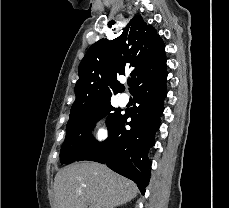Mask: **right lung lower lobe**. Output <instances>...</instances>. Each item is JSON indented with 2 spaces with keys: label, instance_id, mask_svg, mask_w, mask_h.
<instances>
[{
  "label": "right lung lower lobe",
  "instance_id": "obj_1",
  "mask_svg": "<svg viewBox=\"0 0 229 208\" xmlns=\"http://www.w3.org/2000/svg\"><path fill=\"white\" fill-rule=\"evenodd\" d=\"M166 65L154 77L142 82L131 93L137 106L126 110L117 126L102 143L96 144L77 161L89 160L106 165L113 171L133 180L144 195L149 183L148 151L154 145L160 127L163 101L166 97ZM131 118L129 122L127 119ZM125 124L131 129L126 130Z\"/></svg>",
  "mask_w": 229,
  "mask_h": 208
}]
</instances>
